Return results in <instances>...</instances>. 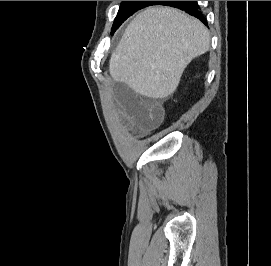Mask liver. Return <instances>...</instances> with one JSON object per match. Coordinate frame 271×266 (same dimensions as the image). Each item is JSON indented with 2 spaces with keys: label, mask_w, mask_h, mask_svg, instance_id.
<instances>
[{
  "label": "liver",
  "mask_w": 271,
  "mask_h": 266,
  "mask_svg": "<svg viewBox=\"0 0 271 266\" xmlns=\"http://www.w3.org/2000/svg\"><path fill=\"white\" fill-rule=\"evenodd\" d=\"M209 47L210 34L198 19L174 8L150 7L127 26L109 72L140 95L167 98L187 65Z\"/></svg>",
  "instance_id": "1"
}]
</instances>
